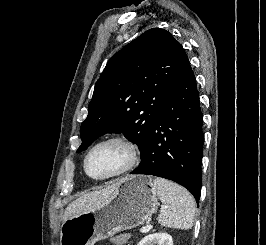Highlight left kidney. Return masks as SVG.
Returning a JSON list of instances; mask_svg holds the SVG:
<instances>
[{"instance_id": "5707ae66", "label": "left kidney", "mask_w": 266, "mask_h": 245, "mask_svg": "<svg viewBox=\"0 0 266 245\" xmlns=\"http://www.w3.org/2000/svg\"><path fill=\"white\" fill-rule=\"evenodd\" d=\"M138 245H173V239L168 233H153L141 239Z\"/></svg>"}]
</instances>
